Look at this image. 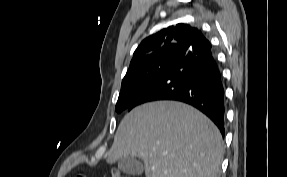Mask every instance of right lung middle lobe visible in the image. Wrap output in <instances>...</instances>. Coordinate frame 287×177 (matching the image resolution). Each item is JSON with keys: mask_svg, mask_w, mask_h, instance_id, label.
I'll list each match as a JSON object with an SVG mask.
<instances>
[{"mask_svg": "<svg viewBox=\"0 0 287 177\" xmlns=\"http://www.w3.org/2000/svg\"><path fill=\"white\" fill-rule=\"evenodd\" d=\"M180 61L178 56H169L123 80L116 111L127 109L149 85Z\"/></svg>", "mask_w": 287, "mask_h": 177, "instance_id": "dd1d6c3e", "label": "right lung middle lobe"}]
</instances>
